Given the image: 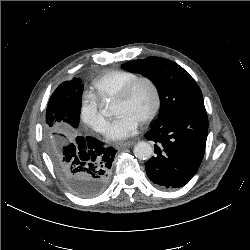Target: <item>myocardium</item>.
Listing matches in <instances>:
<instances>
[{
  "label": "myocardium",
  "instance_id": "f54148a6",
  "mask_svg": "<svg viewBox=\"0 0 250 250\" xmlns=\"http://www.w3.org/2000/svg\"><path fill=\"white\" fill-rule=\"evenodd\" d=\"M141 83L147 84L153 94V106L150 112L141 120V122L146 123V122L151 121L153 118H155V116L159 112L160 105H161V97H160L159 88L152 78L147 77V76L136 77L135 79L130 81L127 85H125L122 88V90L115 97V100L120 101V102L127 101L133 94L136 87Z\"/></svg>",
  "mask_w": 250,
  "mask_h": 250
}]
</instances>
